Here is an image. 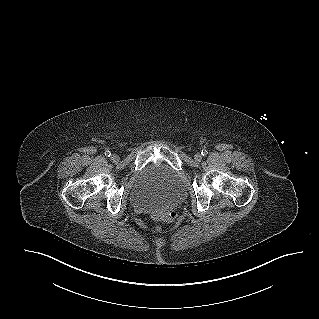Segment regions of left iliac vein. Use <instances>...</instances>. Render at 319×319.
I'll list each match as a JSON object with an SVG mask.
<instances>
[{
    "label": "left iliac vein",
    "mask_w": 319,
    "mask_h": 319,
    "mask_svg": "<svg viewBox=\"0 0 319 319\" xmlns=\"http://www.w3.org/2000/svg\"><path fill=\"white\" fill-rule=\"evenodd\" d=\"M194 159H195L196 162H200L201 159H202L201 154L200 153H196L195 156H194Z\"/></svg>",
    "instance_id": "left-iliac-vein-1"
}]
</instances>
